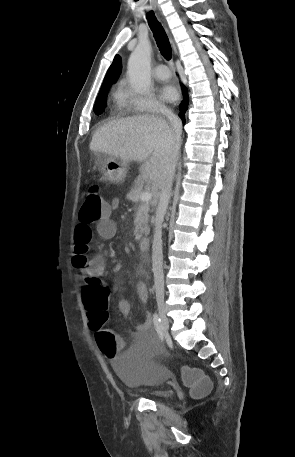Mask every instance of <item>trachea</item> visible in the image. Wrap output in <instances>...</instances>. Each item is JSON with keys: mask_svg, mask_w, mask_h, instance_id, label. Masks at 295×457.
I'll return each mask as SVG.
<instances>
[{"mask_svg": "<svg viewBox=\"0 0 295 457\" xmlns=\"http://www.w3.org/2000/svg\"><path fill=\"white\" fill-rule=\"evenodd\" d=\"M146 18L153 32L154 38L161 52V55L166 60H170L172 58V48L164 28L162 27L161 23L156 19L154 12H148L146 14Z\"/></svg>", "mask_w": 295, "mask_h": 457, "instance_id": "trachea-1", "label": "trachea"}]
</instances>
